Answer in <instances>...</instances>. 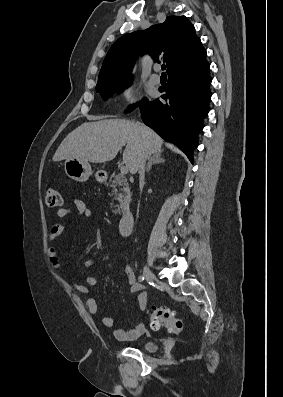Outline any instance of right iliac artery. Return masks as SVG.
Returning a JSON list of instances; mask_svg holds the SVG:
<instances>
[{
  "mask_svg": "<svg viewBox=\"0 0 283 397\" xmlns=\"http://www.w3.org/2000/svg\"><path fill=\"white\" fill-rule=\"evenodd\" d=\"M144 276L143 275H140L139 277H138V280H139V282H142V281H144Z\"/></svg>",
  "mask_w": 283,
  "mask_h": 397,
  "instance_id": "1",
  "label": "right iliac artery"
}]
</instances>
